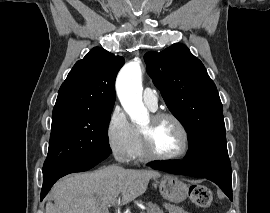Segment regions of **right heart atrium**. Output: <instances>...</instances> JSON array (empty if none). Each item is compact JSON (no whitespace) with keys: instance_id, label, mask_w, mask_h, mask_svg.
<instances>
[{"instance_id":"1","label":"right heart atrium","mask_w":270,"mask_h":213,"mask_svg":"<svg viewBox=\"0 0 270 213\" xmlns=\"http://www.w3.org/2000/svg\"><path fill=\"white\" fill-rule=\"evenodd\" d=\"M106 139L110 151L116 159L122 162L131 159L135 142V128L118 105L113 108L110 114L106 128Z\"/></svg>"}]
</instances>
